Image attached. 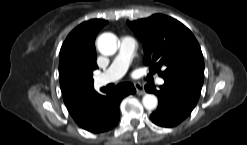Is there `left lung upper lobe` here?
<instances>
[{
  "label": "left lung upper lobe",
  "mask_w": 247,
  "mask_h": 145,
  "mask_svg": "<svg viewBox=\"0 0 247 145\" xmlns=\"http://www.w3.org/2000/svg\"><path fill=\"white\" fill-rule=\"evenodd\" d=\"M127 23L143 43L145 65L154 64L163 79H180L202 87L203 55L186 26L162 14ZM161 67L165 70L161 71Z\"/></svg>",
  "instance_id": "left-lung-upper-lobe-1"
}]
</instances>
